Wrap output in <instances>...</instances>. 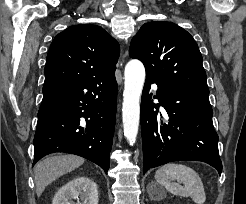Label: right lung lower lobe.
<instances>
[{"instance_id": "98d812e1", "label": "right lung lower lobe", "mask_w": 246, "mask_h": 204, "mask_svg": "<svg viewBox=\"0 0 246 204\" xmlns=\"http://www.w3.org/2000/svg\"><path fill=\"white\" fill-rule=\"evenodd\" d=\"M116 101L115 74L44 86L33 165L47 154L66 152L91 160L107 173Z\"/></svg>"}]
</instances>
